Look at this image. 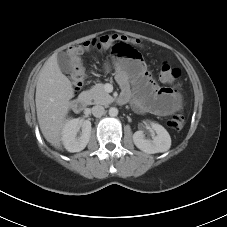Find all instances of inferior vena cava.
I'll return each mask as SVG.
<instances>
[{
  "instance_id": "602c4592",
  "label": "inferior vena cava",
  "mask_w": 227,
  "mask_h": 227,
  "mask_svg": "<svg viewBox=\"0 0 227 227\" xmlns=\"http://www.w3.org/2000/svg\"><path fill=\"white\" fill-rule=\"evenodd\" d=\"M92 114H93L95 117H101L102 115L105 114V109H104V107L101 106V105L93 106V107H92Z\"/></svg>"
}]
</instances>
